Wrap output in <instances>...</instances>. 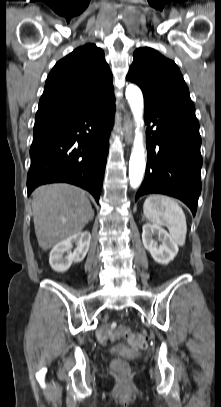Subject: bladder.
<instances>
[{"label": "bladder", "instance_id": "bladder-1", "mask_svg": "<svg viewBox=\"0 0 221 407\" xmlns=\"http://www.w3.org/2000/svg\"><path fill=\"white\" fill-rule=\"evenodd\" d=\"M120 349V347H116V350H119Z\"/></svg>", "mask_w": 221, "mask_h": 407}]
</instances>
